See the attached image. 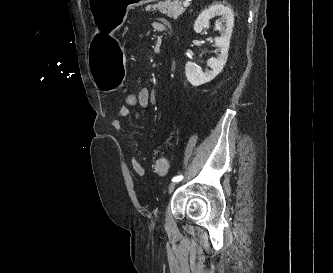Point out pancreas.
Segmentation results:
<instances>
[{"instance_id": "pancreas-1", "label": "pancreas", "mask_w": 333, "mask_h": 273, "mask_svg": "<svg viewBox=\"0 0 333 273\" xmlns=\"http://www.w3.org/2000/svg\"><path fill=\"white\" fill-rule=\"evenodd\" d=\"M181 4L182 2L179 0H165L164 2L160 1L157 4L147 6L146 10L159 11L170 18L177 19L185 11Z\"/></svg>"}]
</instances>
